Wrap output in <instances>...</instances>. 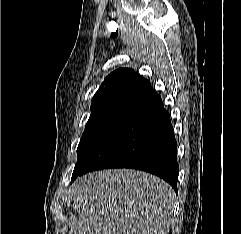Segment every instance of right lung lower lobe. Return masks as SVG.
Returning <instances> with one entry per match:
<instances>
[{
  "label": "right lung lower lobe",
  "mask_w": 241,
  "mask_h": 234,
  "mask_svg": "<svg viewBox=\"0 0 241 234\" xmlns=\"http://www.w3.org/2000/svg\"><path fill=\"white\" fill-rule=\"evenodd\" d=\"M106 168H133L152 173L177 192V142L170 115L157 93L137 105L98 145L77 176Z\"/></svg>",
  "instance_id": "98d812e1"
}]
</instances>
